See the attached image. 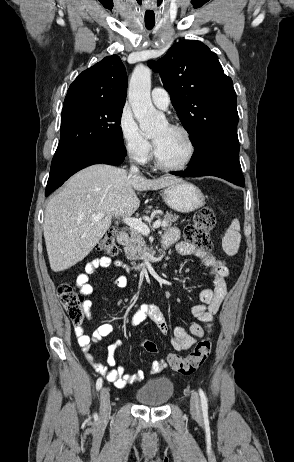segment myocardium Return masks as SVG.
Here are the masks:
<instances>
[{
  "instance_id": "obj_1",
  "label": "myocardium",
  "mask_w": 294,
  "mask_h": 462,
  "mask_svg": "<svg viewBox=\"0 0 294 462\" xmlns=\"http://www.w3.org/2000/svg\"><path fill=\"white\" fill-rule=\"evenodd\" d=\"M168 127L173 129V130H177V131L181 132L185 136V138H186V140L188 142V146H189L188 155L185 158V160L183 162H181L180 164H176V165L165 164L160 160L158 152H157V148H156V145H155V142L153 141L154 164L158 169L163 170V171H168V172L181 171V170L186 169L191 164V162L193 161V159H194V157L196 155V151H197L196 143H195V140H194V137H193L192 133L190 132V130L187 127H185V126H183L181 124H177V123H169Z\"/></svg>"
}]
</instances>
